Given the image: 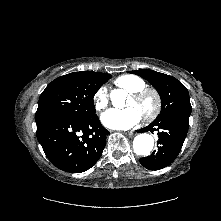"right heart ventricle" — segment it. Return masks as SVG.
Instances as JSON below:
<instances>
[{
  "label": "right heart ventricle",
  "instance_id": "1",
  "mask_svg": "<svg viewBox=\"0 0 221 221\" xmlns=\"http://www.w3.org/2000/svg\"><path fill=\"white\" fill-rule=\"evenodd\" d=\"M115 84L130 93L146 86L145 81L136 75H122L115 80Z\"/></svg>",
  "mask_w": 221,
  "mask_h": 221
}]
</instances>
